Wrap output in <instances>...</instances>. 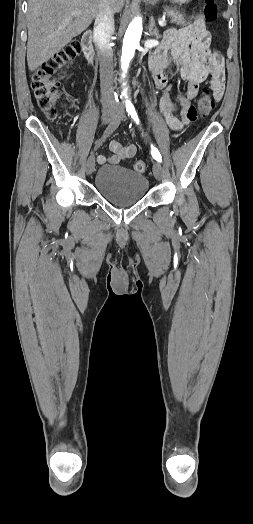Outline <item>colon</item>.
<instances>
[{"label": "colon", "instance_id": "1", "mask_svg": "<svg viewBox=\"0 0 253 524\" xmlns=\"http://www.w3.org/2000/svg\"><path fill=\"white\" fill-rule=\"evenodd\" d=\"M203 15L209 22L217 19L218 11L214 0H205ZM80 48L81 44L79 41H72L54 57L47 60L32 76L31 86L38 106L50 120H55L58 116L56 109V103L60 96L58 79L63 68L79 54ZM77 91H80V88H77ZM210 109V94L202 92L199 98L198 110L201 114H208ZM134 169L137 172H144L146 163L142 160H137L134 163Z\"/></svg>", "mask_w": 253, "mask_h": 524}]
</instances>
